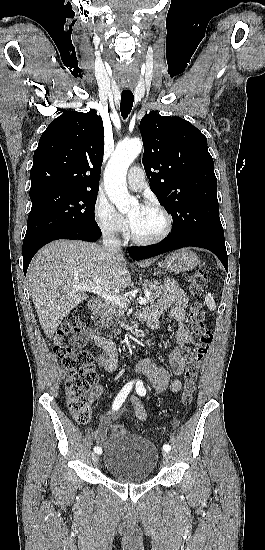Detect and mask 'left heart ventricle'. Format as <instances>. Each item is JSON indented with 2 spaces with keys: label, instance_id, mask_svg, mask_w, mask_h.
<instances>
[{
  "label": "left heart ventricle",
  "instance_id": "obj_1",
  "mask_svg": "<svg viewBox=\"0 0 265 550\" xmlns=\"http://www.w3.org/2000/svg\"><path fill=\"white\" fill-rule=\"evenodd\" d=\"M128 218L132 231L140 238H153L165 227V219L158 211L140 205L130 210Z\"/></svg>",
  "mask_w": 265,
  "mask_h": 550
}]
</instances>
